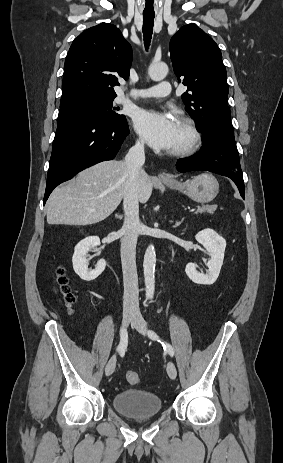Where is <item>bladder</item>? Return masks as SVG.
Instances as JSON below:
<instances>
[{"label": "bladder", "mask_w": 283, "mask_h": 463, "mask_svg": "<svg viewBox=\"0 0 283 463\" xmlns=\"http://www.w3.org/2000/svg\"><path fill=\"white\" fill-rule=\"evenodd\" d=\"M112 404L119 414L131 419L153 417L163 408L159 396L141 389H127L116 393Z\"/></svg>", "instance_id": "31cf9c89"}]
</instances>
